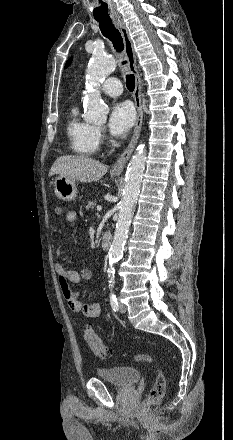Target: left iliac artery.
<instances>
[{
  "instance_id": "obj_1",
  "label": "left iliac artery",
  "mask_w": 233,
  "mask_h": 440,
  "mask_svg": "<svg viewBox=\"0 0 233 440\" xmlns=\"http://www.w3.org/2000/svg\"><path fill=\"white\" fill-rule=\"evenodd\" d=\"M109 283H110L109 284V289L111 291L110 292V304H111V307H112L113 311H118V309H119L118 301H117L116 295L113 292L114 281L110 280Z\"/></svg>"
}]
</instances>
